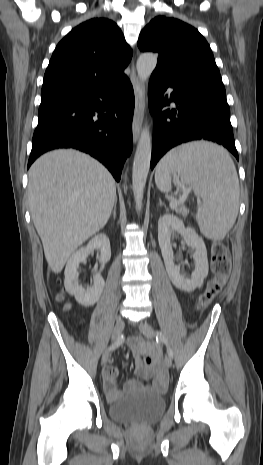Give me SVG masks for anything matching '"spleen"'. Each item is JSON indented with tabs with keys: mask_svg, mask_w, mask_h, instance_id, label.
<instances>
[{
	"mask_svg": "<svg viewBox=\"0 0 263 465\" xmlns=\"http://www.w3.org/2000/svg\"><path fill=\"white\" fill-rule=\"evenodd\" d=\"M172 176L190 185L202 205L196 220L201 233L222 240L236 221L239 208V180L235 165L225 149L209 142H193L167 153L155 173L157 188L171 191Z\"/></svg>",
	"mask_w": 263,
	"mask_h": 465,
	"instance_id": "3e777b00",
	"label": "spleen"
}]
</instances>
